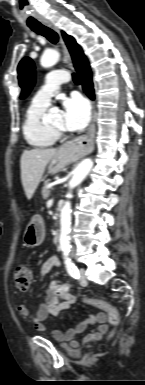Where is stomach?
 Returning <instances> with one entry per match:
<instances>
[{"instance_id":"obj_1","label":"stomach","mask_w":145,"mask_h":385,"mask_svg":"<svg viewBox=\"0 0 145 385\" xmlns=\"http://www.w3.org/2000/svg\"><path fill=\"white\" fill-rule=\"evenodd\" d=\"M75 160L74 153L61 147L55 156L49 161L47 173L55 174L63 170ZM45 238V227L41 218L34 216L27 225L24 232V242L28 247L39 246Z\"/></svg>"}]
</instances>
